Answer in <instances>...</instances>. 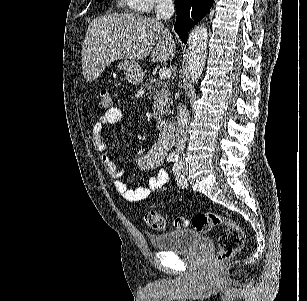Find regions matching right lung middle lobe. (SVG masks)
Listing matches in <instances>:
<instances>
[{"mask_svg":"<svg viewBox=\"0 0 307 301\" xmlns=\"http://www.w3.org/2000/svg\"><path fill=\"white\" fill-rule=\"evenodd\" d=\"M96 1H98V2H102L103 0H96Z\"/></svg>","mask_w":307,"mask_h":301,"instance_id":"obj_1","label":"right lung middle lobe"}]
</instances>
